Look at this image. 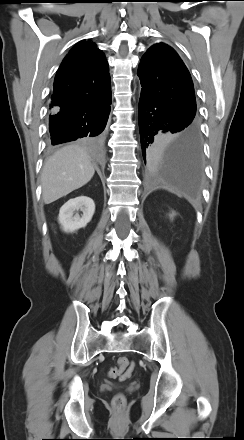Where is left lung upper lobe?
Instances as JSON below:
<instances>
[{"instance_id":"5c2ea615","label":"left lung upper lobe","mask_w":244,"mask_h":440,"mask_svg":"<svg viewBox=\"0 0 244 440\" xmlns=\"http://www.w3.org/2000/svg\"><path fill=\"white\" fill-rule=\"evenodd\" d=\"M138 77L142 89L168 105L178 116L198 127L194 86L183 61L170 46L157 43L141 59Z\"/></svg>"}]
</instances>
